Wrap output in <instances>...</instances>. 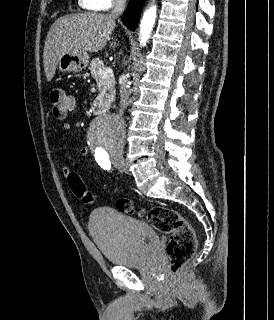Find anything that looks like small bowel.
Masks as SVG:
<instances>
[{
  "mask_svg": "<svg viewBox=\"0 0 274 320\" xmlns=\"http://www.w3.org/2000/svg\"><path fill=\"white\" fill-rule=\"evenodd\" d=\"M71 127H72L71 124L68 122L62 124V129L64 131L71 130ZM89 152H90L89 148L83 147L82 149H80L79 154H80V156H86L89 154ZM61 170H62L63 174L67 177H68L69 173L71 172L69 166L65 163H62Z\"/></svg>",
  "mask_w": 274,
  "mask_h": 320,
  "instance_id": "small-bowel-1",
  "label": "small bowel"
}]
</instances>
